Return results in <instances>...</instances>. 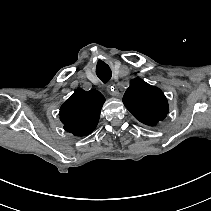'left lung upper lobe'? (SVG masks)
I'll return each instance as SVG.
<instances>
[{
    "mask_svg": "<svg viewBox=\"0 0 211 211\" xmlns=\"http://www.w3.org/2000/svg\"><path fill=\"white\" fill-rule=\"evenodd\" d=\"M123 103L138 121L148 126H155L169 111L164 93L140 78L130 81Z\"/></svg>",
    "mask_w": 211,
    "mask_h": 211,
    "instance_id": "5c2ea615",
    "label": "left lung upper lobe"
}]
</instances>
